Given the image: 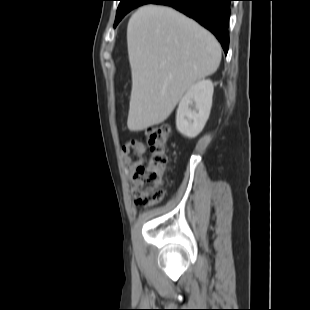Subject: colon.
<instances>
[{"mask_svg":"<svg viewBox=\"0 0 310 310\" xmlns=\"http://www.w3.org/2000/svg\"><path fill=\"white\" fill-rule=\"evenodd\" d=\"M170 134L171 129L166 125L152 127L145 133L149 157L146 164L136 169L131 184L135 203L139 206L151 207L163 199L168 168L166 145Z\"/></svg>","mask_w":310,"mask_h":310,"instance_id":"obj_1","label":"colon"}]
</instances>
